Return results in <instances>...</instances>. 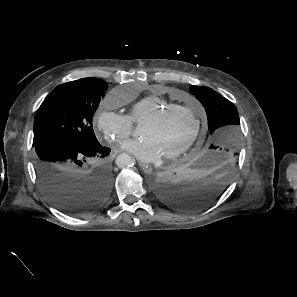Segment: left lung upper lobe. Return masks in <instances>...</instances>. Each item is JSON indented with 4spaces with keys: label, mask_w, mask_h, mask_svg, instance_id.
Instances as JSON below:
<instances>
[{
    "label": "left lung upper lobe",
    "mask_w": 297,
    "mask_h": 297,
    "mask_svg": "<svg viewBox=\"0 0 297 297\" xmlns=\"http://www.w3.org/2000/svg\"><path fill=\"white\" fill-rule=\"evenodd\" d=\"M189 90L206 110L211 143L209 150H218L236 159L240 120L234 104L209 87L191 86Z\"/></svg>",
    "instance_id": "left-lung-upper-lobe-1"
}]
</instances>
